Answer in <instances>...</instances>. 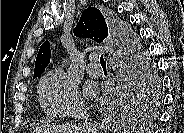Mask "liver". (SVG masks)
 <instances>
[{"label": "liver", "instance_id": "1", "mask_svg": "<svg viewBox=\"0 0 184 133\" xmlns=\"http://www.w3.org/2000/svg\"><path fill=\"white\" fill-rule=\"evenodd\" d=\"M94 129V128H93ZM83 130L75 125L61 126V127H44L36 130V133H82ZM96 131V129H94ZM96 133V132H95Z\"/></svg>", "mask_w": 184, "mask_h": 133}]
</instances>
